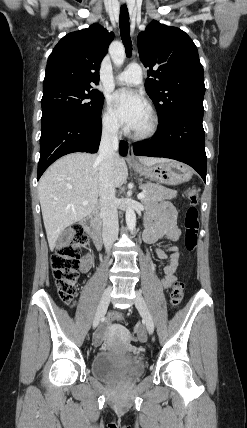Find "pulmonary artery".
<instances>
[{"label": "pulmonary artery", "mask_w": 247, "mask_h": 428, "mask_svg": "<svg viewBox=\"0 0 247 428\" xmlns=\"http://www.w3.org/2000/svg\"><path fill=\"white\" fill-rule=\"evenodd\" d=\"M116 79L120 84L137 85L142 81V69L138 64H130Z\"/></svg>", "instance_id": "e3ab8cb5"}]
</instances>
